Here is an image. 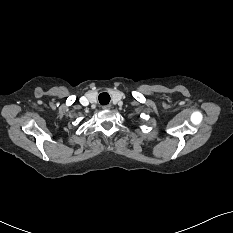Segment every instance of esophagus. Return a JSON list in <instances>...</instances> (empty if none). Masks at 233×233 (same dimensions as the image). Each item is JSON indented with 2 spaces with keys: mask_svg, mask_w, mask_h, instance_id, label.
I'll return each instance as SVG.
<instances>
[{
  "mask_svg": "<svg viewBox=\"0 0 233 233\" xmlns=\"http://www.w3.org/2000/svg\"><path fill=\"white\" fill-rule=\"evenodd\" d=\"M102 108H103L104 110H107V109H110V108H111V105H104Z\"/></svg>",
  "mask_w": 233,
  "mask_h": 233,
  "instance_id": "esophagus-1",
  "label": "esophagus"
}]
</instances>
